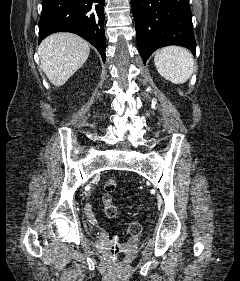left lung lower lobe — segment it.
I'll return each mask as SVG.
<instances>
[{
	"label": "left lung lower lobe",
	"instance_id": "left-lung-lower-lobe-1",
	"mask_svg": "<svg viewBox=\"0 0 240 281\" xmlns=\"http://www.w3.org/2000/svg\"><path fill=\"white\" fill-rule=\"evenodd\" d=\"M139 53L144 62L158 48L186 47L195 54L196 42L188 0H132Z\"/></svg>",
	"mask_w": 240,
	"mask_h": 281
}]
</instances>
